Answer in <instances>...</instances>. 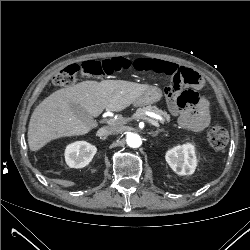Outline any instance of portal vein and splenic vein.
<instances>
[{
  "instance_id": "obj_1",
  "label": "portal vein and splenic vein",
  "mask_w": 250,
  "mask_h": 250,
  "mask_svg": "<svg viewBox=\"0 0 250 250\" xmlns=\"http://www.w3.org/2000/svg\"><path fill=\"white\" fill-rule=\"evenodd\" d=\"M152 117L157 119V120L163 121V118L161 116L157 115V114H154ZM141 119L148 121L149 123H151L152 125H154L156 127H160L158 121H156V120H153V119L148 118L146 116H142ZM115 122H116L115 119H109L107 121L108 124H114Z\"/></svg>"
}]
</instances>
